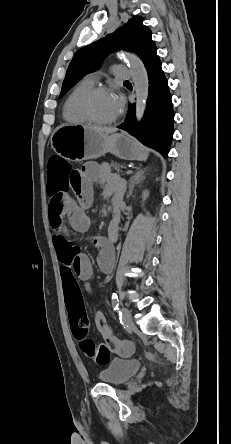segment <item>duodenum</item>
Returning a JSON list of instances; mask_svg holds the SVG:
<instances>
[{
  "instance_id": "obj_1",
  "label": "duodenum",
  "mask_w": 231,
  "mask_h": 444,
  "mask_svg": "<svg viewBox=\"0 0 231 444\" xmlns=\"http://www.w3.org/2000/svg\"><path fill=\"white\" fill-rule=\"evenodd\" d=\"M119 218H120V215H119V213H118V209L115 208V209H114V212H113V214H112V217H111V222H110V226H111L112 228H114V227L117 225V223H118V221H119Z\"/></svg>"
}]
</instances>
